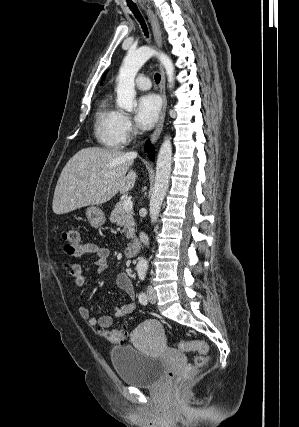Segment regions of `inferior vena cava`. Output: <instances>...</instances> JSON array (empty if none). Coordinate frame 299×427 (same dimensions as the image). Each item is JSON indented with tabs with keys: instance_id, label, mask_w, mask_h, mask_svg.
<instances>
[{
	"instance_id": "602c4592",
	"label": "inferior vena cava",
	"mask_w": 299,
	"mask_h": 427,
	"mask_svg": "<svg viewBox=\"0 0 299 427\" xmlns=\"http://www.w3.org/2000/svg\"><path fill=\"white\" fill-rule=\"evenodd\" d=\"M136 154V153H135ZM139 238H140V241L144 244V245H146V246H148L149 245V238H148V236L144 233V232H140V234H139Z\"/></svg>"
}]
</instances>
